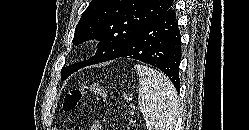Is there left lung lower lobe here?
I'll use <instances>...</instances> for the list:
<instances>
[{"instance_id": "obj_1", "label": "left lung lower lobe", "mask_w": 249, "mask_h": 130, "mask_svg": "<svg viewBox=\"0 0 249 130\" xmlns=\"http://www.w3.org/2000/svg\"><path fill=\"white\" fill-rule=\"evenodd\" d=\"M137 59L162 70L179 91L181 37L174 6L141 28L110 60Z\"/></svg>"}]
</instances>
